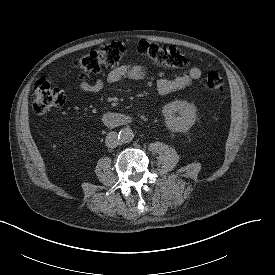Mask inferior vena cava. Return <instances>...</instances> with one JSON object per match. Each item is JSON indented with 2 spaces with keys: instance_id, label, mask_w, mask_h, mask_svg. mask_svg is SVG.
Listing matches in <instances>:
<instances>
[{
  "instance_id": "obj_1",
  "label": "inferior vena cava",
  "mask_w": 275,
  "mask_h": 275,
  "mask_svg": "<svg viewBox=\"0 0 275 275\" xmlns=\"http://www.w3.org/2000/svg\"><path fill=\"white\" fill-rule=\"evenodd\" d=\"M119 143H120V140L116 132L113 131L107 134L105 139V144L108 148H115L119 145Z\"/></svg>"
}]
</instances>
